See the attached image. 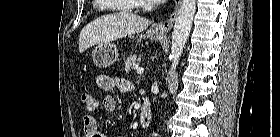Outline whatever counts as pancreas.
<instances>
[{
  "mask_svg": "<svg viewBox=\"0 0 280 137\" xmlns=\"http://www.w3.org/2000/svg\"><path fill=\"white\" fill-rule=\"evenodd\" d=\"M124 64H125V71L127 73L137 69L139 67V63L137 60V56L136 55H130L129 57H127L124 60Z\"/></svg>",
  "mask_w": 280,
  "mask_h": 137,
  "instance_id": "obj_1",
  "label": "pancreas"
}]
</instances>
